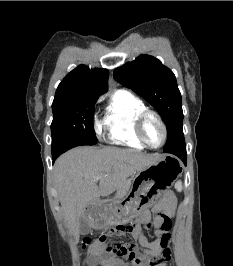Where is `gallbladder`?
I'll return each mask as SVG.
<instances>
[{"label":"gallbladder","mask_w":233,"mask_h":266,"mask_svg":"<svg viewBox=\"0 0 233 266\" xmlns=\"http://www.w3.org/2000/svg\"><path fill=\"white\" fill-rule=\"evenodd\" d=\"M80 233L82 235H86L91 231V226L89 225L88 219L85 217H82L80 220Z\"/></svg>","instance_id":"bac80fb5"}]
</instances>
